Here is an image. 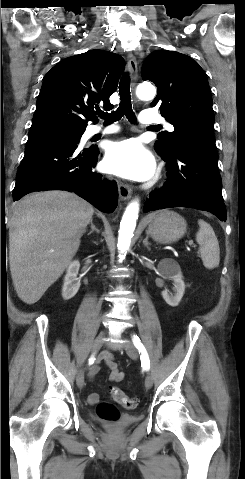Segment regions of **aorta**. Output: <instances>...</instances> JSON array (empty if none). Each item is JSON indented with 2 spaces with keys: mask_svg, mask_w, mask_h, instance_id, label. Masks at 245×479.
Here are the masks:
<instances>
[{
  "mask_svg": "<svg viewBox=\"0 0 245 479\" xmlns=\"http://www.w3.org/2000/svg\"><path fill=\"white\" fill-rule=\"evenodd\" d=\"M137 96L140 99L150 100L153 99L156 90L152 85L141 84L137 87ZM139 213V202L137 200L132 201L126 208L122 220L120 222V230L118 236V250H119V262L125 259L126 251L129 249L133 232L136 227V221Z\"/></svg>",
  "mask_w": 245,
  "mask_h": 479,
  "instance_id": "762f6f07",
  "label": "aorta"
}]
</instances>
